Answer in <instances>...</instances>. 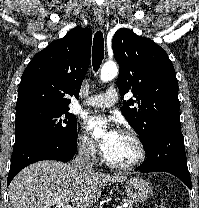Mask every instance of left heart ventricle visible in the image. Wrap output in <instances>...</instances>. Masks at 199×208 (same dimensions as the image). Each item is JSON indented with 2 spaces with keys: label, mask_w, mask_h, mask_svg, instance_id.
I'll use <instances>...</instances> for the list:
<instances>
[{
  "label": "left heart ventricle",
  "mask_w": 199,
  "mask_h": 208,
  "mask_svg": "<svg viewBox=\"0 0 199 208\" xmlns=\"http://www.w3.org/2000/svg\"><path fill=\"white\" fill-rule=\"evenodd\" d=\"M105 154L113 161L128 163L137 158L138 148L129 137L120 133Z\"/></svg>",
  "instance_id": "b2bd125f"
}]
</instances>
